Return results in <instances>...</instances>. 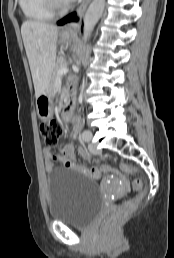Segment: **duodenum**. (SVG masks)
Wrapping results in <instances>:
<instances>
[{
  "instance_id": "obj_1",
  "label": "duodenum",
  "mask_w": 174,
  "mask_h": 258,
  "mask_svg": "<svg viewBox=\"0 0 174 258\" xmlns=\"http://www.w3.org/2000/svg\"><path fill=\"white\" fill-rule=\"evenodd\" d=\"M73 108H74V101L70 99L65 103L62 111V116L65 120H70L72 118Z\"/></svg>"
}]
</instances>
